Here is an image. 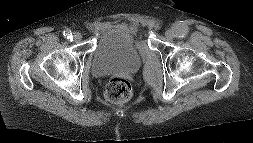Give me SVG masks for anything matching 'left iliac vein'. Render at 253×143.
<instances>
[{"label": "left iliac vein", "mask_w": 253, "mask_h": 143, "mask_svg": "<svg viewBox=\"0 0 253 143\" xmlns=\"http://www.w3.org/2000/svg\"><path fill=\"white\" fill-rule=\"evenodd\" d=\"M165 37H166L168 40L174 39V38H175V32H174V30L168 29V30L165 32Z\"/></svg>", "instance_id": "1"}]
</instances>
